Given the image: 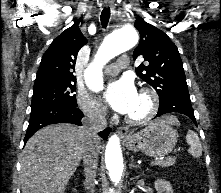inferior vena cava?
<instances>
[{
    "mask_svg": "<svg viewBox=\"0 0 221 193\" xmlns=\"http://www.w3.org/2000/svg\"><path fill=\"white\" fill-rule=\"evenodd\" d=\"M87 135V142L83 152V164L86 181L93 192L98 164V148L96 140L98 132L107 127L106 110L102 107L90 109L82 121Z\"/></svg>",
    "mask_w": 221,
    "mask_h": 193,
    "instance_id": "1",
    "label": "inferior vena cava"
}]
</instances>
